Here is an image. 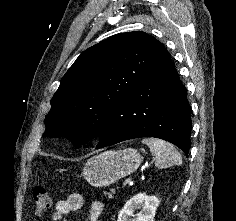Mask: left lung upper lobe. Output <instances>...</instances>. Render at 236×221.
<instances>
[{
	"label": "left lung upper lobe",
	"instance_id": "left-lung-upper-lobe-1",
	"mask_svg": "<svg viewBox=\"0 0 236 221\" xmlns=\"http://www.w3.org/2000/svg\"><path fill=\"white\" fill-rule=\"evenodd\" d=\"M164 45L141 31L112 36L83 51L51 100L43 136L76 145L100 136L117 106L158 60Z\"/></svg>",
	"mask_w": 236,
	"mask_h": 221
}]
</instances>
